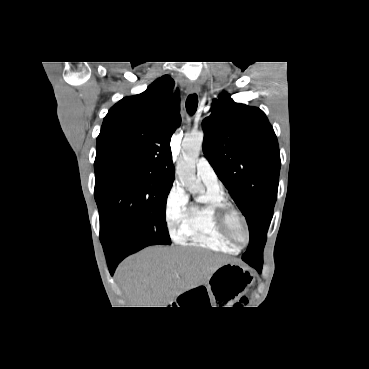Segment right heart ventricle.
I'll list each match as a JSON object with an SVG mask.
<instances>
[{
  "label": "right heart ventricle",
  "instance_id": "right-heart-ventricle-1",
  "mask_svg": "<svg viewBox=\"0 0 369 369\" xmlns=\"http://www.w3.org/2000/svg\"><path fill=\"white\" fill-rule=\"evenodd\" d=\"M206 188V192L189 205L178 228L177 239L193 246L236 253L238 248L224 237L216 221L217 208L226 203L224 194L220 189Z\"/></svg>",
  "mask_w": 369,
  "mask_h": 369
}]
</instances>
